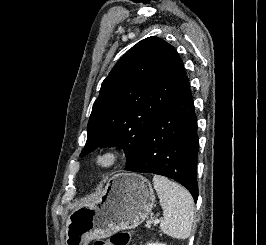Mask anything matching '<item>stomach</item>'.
<instances>
[{
	"instance_id": "stomach-1",
	"label": "stomach",
	"mask_w": 266,
	"mask_h": 245,
	"mask_svg": "<svg viewBox=\"0 0 266 245\" xmlns=\"http://www.w3.org/2000/svg\"><path fill=\"white\" fill-rule=\"evenodd\" d=\"M155 195L149 181L135 173H117L109 179L99 199L79 207L66 223V245H87L118 231L136 229L150 215Z\"/></svg>"
}]
</instances>
